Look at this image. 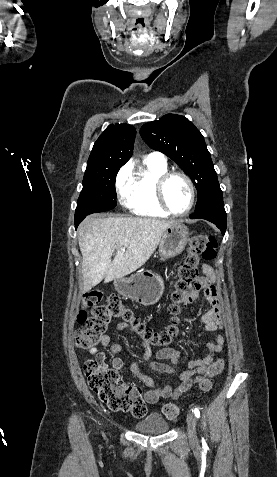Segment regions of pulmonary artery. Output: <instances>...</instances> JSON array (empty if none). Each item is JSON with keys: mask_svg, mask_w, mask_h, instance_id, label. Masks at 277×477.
Returning a JSON list of instances; mask_svg holds the SVG:
<instances>
[{"mask_svg": "<svg viewBox=\"0 0 277 477\" xmlns=\"http://www.w3.org/2000/svg\"><path fill=\"white\" fill-rule=\"evenodd\" d=\"M146 160L157 162V163H166L165 157L160 152H151L147 155Z\"/></svg>", "mask_w": 277, "mask_h": 477, "instance_id": "obj_1", "label": "pulmonary artery"}]
</instances>
